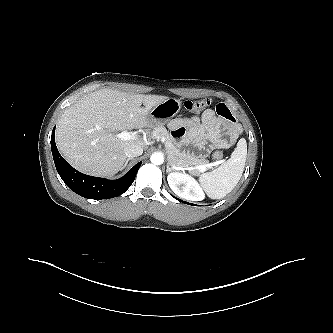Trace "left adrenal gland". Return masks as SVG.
<instances>
[{"instance_id": "1", "label": "left adrenal gland", "mask_w": 333, "mask_h": 333, "mask_svg": "<svg viewBox=\"0 0 333 333\" xmlns=\"http://www.w3.org/2000/svg\"><path fill=\"white\" fill-rule=\"evenodd\" d=\"M172 170H173V168H171V167L169 166V164H167V170H166V172L169 173V172H171Z\"/></svg>"}]
</instances>
